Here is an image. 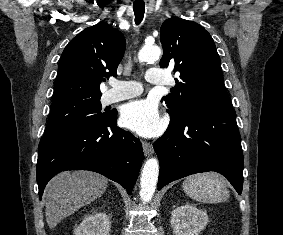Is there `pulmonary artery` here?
<instances>
[{
    "label": "pulmonary artery",
    "instance_id": "pulmonary-artery-1",
    "mask_svg": "<svg viewBox=\"0 0 283 235\" xmlns=\"http://www.w3.org/2000/svg\"><path fill=\"white\" fill-rule=\"evenodd\" d=\"M145 78L147 82L151 84H166L165 78L163 77L162 73L156 68L149 69L146 73ZM110 85L112 89L105 92L102 98L103 102L106 104L139 96L143 91L141 83L132 80L127 81L113 79L110 82Z\"/></svg>",
    "mask_w": 283,
    "mask_h": 235
}]
</instances>
